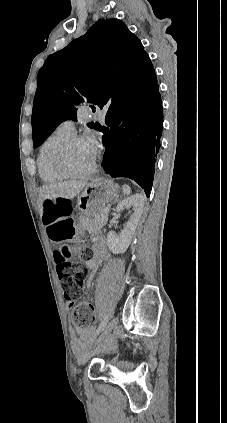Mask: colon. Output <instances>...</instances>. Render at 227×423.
Instances as JSON below:
<instances>
[{
  "label": "colon",
  "instance_id": "1",
  "mask_svg": "<svg viewBox=\"0 0 227 423\" xmlns=\"http://www.w3.org/2000/svg\"><path fill=\"white\" fill-rule=\"evenodd\" d=\"M69 213V207L60 200H48L45 203V224L57 219L64 218ZM75 232L72 222L59 224L54 229V239L57 247L54 251L59 279L62 283L63 295L66 301H76L81 295V288L88 277L85 266L72 261V255L76 252L80 257L90 259V254L78 248L76 251L68 244ZM93 306L89 302H81L73 312L74 323L81 328H88L93 323Z\"/></svg>",
  "mask_w": 227,
  "mask_h": 423
}]
</instances>
